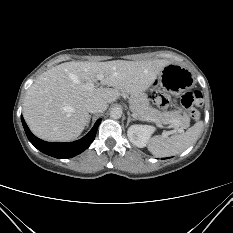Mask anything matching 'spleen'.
Returning a JSON list of instances; mask_svg holds the SVG:
<instances>
[{
    "label": "spleen",
    "instance_id": "1",
    "mask_svg": "<svg viewBox=\"0 0 233 233\" xmlns=\"http://www.w3.org/2000/svg\"><path fill=\"white\" fill-rule=\"evenodd\" d=\"M202 127L203 123L199 121L182 134L155 137L148 144V150L157 157L180 154L198 140Z\"/></svg>",
    "mask_w": 233,
    "mask_h": 233
}]
</instances>
